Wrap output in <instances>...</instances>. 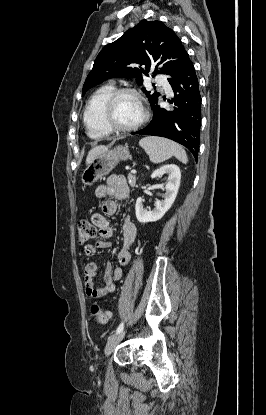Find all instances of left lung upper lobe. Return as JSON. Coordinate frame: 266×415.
<instances>
[{"mask_svg": "<svg viewBox=\"0 0 266 415\" xmlns=\"http://www.w3.org/2000/svg\"><path fill=\"white\" fill-rule=\"evenodd\" d=\"M187 58L181 40L172 29L161 21L142 20L101 50L85 80L82 95L113 77L136 78L137 83L142 84V74L148 76L149 69H154L153 76L156 73L169 75L170 81ZM138 65H145L146 70ZM142 90L152 108L156 106L160 93Z\"/></svg>", "mask_w": 266, "mask_h": 415, "instance_id": "1", "label": "left lung upper lobe"}]
</instances>
